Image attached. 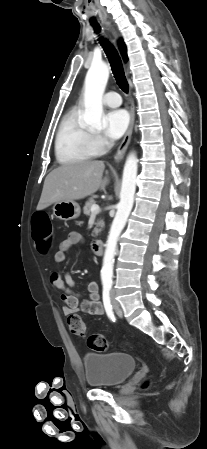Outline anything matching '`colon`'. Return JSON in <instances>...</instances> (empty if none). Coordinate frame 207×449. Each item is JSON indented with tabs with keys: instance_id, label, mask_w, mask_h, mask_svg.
Returning <instances> with one entry per match:
<instances>
[{
	"instance_id": "colon-1",
	"label": "colon",
	"mask_w": 207,
	"mask_h": 449,
	"mask_svg": "<svg viewBox=\"0 0 207 449\" xmlns=\"http://www.w3.org/2000/svg\"><path fill=\"white\" fill-rule=\"evenodd\" d=\"M33 222V239L36 243L38 251L45 254L51 248L53 228L49 216L45 212H36L32 217ZM68 326L70 332L78 337L86 335V325L83 319L75 314L69 315ZM88 345L97 352H105L108 350L109 344L107 339L101 334H93L88 338Z\"/></svg>"
}]
</instances>
